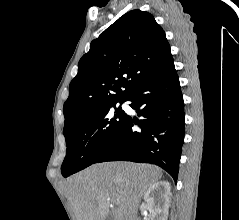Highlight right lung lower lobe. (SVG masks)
<instances>
[{"label": "right lung lower lobe", "instance_id": "right-lung-lower-lobe-1", "mask_svg": "<svg viewBox=\"0 0 239 220\" xmlns=\"http://www.w3.org/2000/svg\"><path fill=\"white\" fill-rule=\"evenodd\" d=\"M125 101L140 121L126 116L120 130L94 163L125 160L156 164L177 181L185 114L179 78L171 60L140 84ZM139 126L137 131L133 125Z\"/></svg>", "mask_w": 239, "mask_h": 220}]
</instances>
